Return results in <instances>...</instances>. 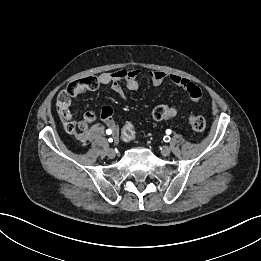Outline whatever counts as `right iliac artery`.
<instances>
[{
    "instance_id": "82829eb1",
    "label": "right iliac artery",
    "mask_w": 261,
    "mask_h": 261,
    "mask_svg": "<svg viewBox=\"0 0 261 261\" xmlns=\"http://www.w3.org/2000/svg\"><path fill=\"white\" fill-rule=\"evenodd\" d=\"M106 133H107V134H111L112 131H111L110 129H108V130L106 131ZM108 141H109V142H113V139H112V138H109Z\"/></svg>"
}]
</instances>
